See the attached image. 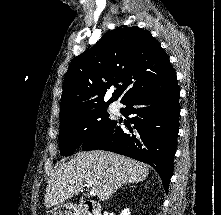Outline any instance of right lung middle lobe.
Wrapping results in <instances>:
<instances>
[{"label":"right lung middle lobe","mask_w":221,"mask_h":215,"mask_svg":"<svg viewBox=\"0 0 221 215\" xmlns=\"http://www.w3.org/2000/svg\"><path fill=\"white\" fill-rule=\"evenodd\" d=\"M107 106L88 109L73 114L60 123V151L68 156L91 135L112 122Z\"/></svg>","instance_id":"right-lung-middle-lobe-1"}]
</instances>
